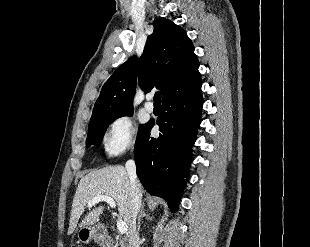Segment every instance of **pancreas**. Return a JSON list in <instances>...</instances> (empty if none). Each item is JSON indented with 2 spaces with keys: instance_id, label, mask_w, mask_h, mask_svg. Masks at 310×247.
<instances>
[{
  "instance_id": "obj_1",
  "label": "pancreas",
  "mask_w": 310,
  "mask_h": 247,
  "mask_svg": "<svg viewBox=\"0 0 310 247\" xmlns=\"http://www.w3.org/2000/svg\"><path fill=\"white\" fill-rule=\"evenodd\" d=\"M117 246H120V247H127V246H126V243H125L123 240H120L119 244L117 243L114 247H117Z\"/></svg>"
}]
</instances>
